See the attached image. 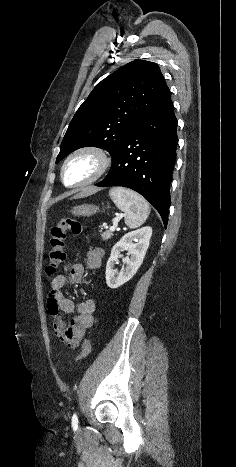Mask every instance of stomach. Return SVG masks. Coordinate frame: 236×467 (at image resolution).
Segmentation results:
<instances>
[{
  "label": "stomach",
  "instance_id": "0dacf381",
  "mask_svg": "<svg viewBox=\"0 0 236 467\" xmlns=\"http://www.w3.org/2000/svg\"><path fill=\"white\" fill-rule=\"evenodd\" d=\"M99 211V207L93 204H82L72 209L75 216H91Z\"/></svg>",
  "mask_w": 236,
  "mask_h": 467
}]
</instances>
